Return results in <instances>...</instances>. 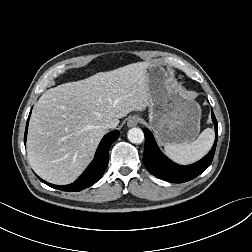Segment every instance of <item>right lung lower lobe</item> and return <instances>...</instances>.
<instances>
[{
  "label": "right lung lower lobe",
  "mask_w": 252,
  "mask_h": 252,
  "mask_svg": "<svg viewBox=\"0 0 252 252\" xmlns=\"http://www.w3.org/2000/svg\"><path fill=\"white\" fill-rule=\"evenodd\" d=\"M29 117H30V114H29ZM29 117L26 124L24 143L26 142ZM118 136H119V132L113 131L103 137V139L101 140L97 148L94 160L74 183L69 184V185H64V186H58V185L47 183L43 181L42 179L40 180L43 183H46L47 185H49L50 187H53L62 191H68V192H77L87 187H90L103 176L108 165L109 148L111 144L118 138Z\"/></svg>",
  "instance_id": "1"
}]
</instances>
